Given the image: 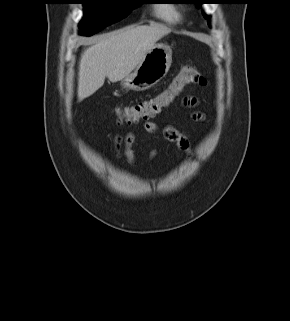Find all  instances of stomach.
<instances>
[{
  "label": "stomach",
  "instance_id": "obj_1",
  "mask_svg": "<svg viewBox=\"0 0 290 321\" xmlns=\"http://www.w3.org/2000/svg\"><path fill=\"white\" fill-rule=\"evenodd\" d=\"M172 63V50L166 44H155L145 55L133 73L122 81L125 89L144 91L156 85L169 71Z\"/></svg>",
  "mask_w": 290,
  "mask_h": 321
}]
</instances>
